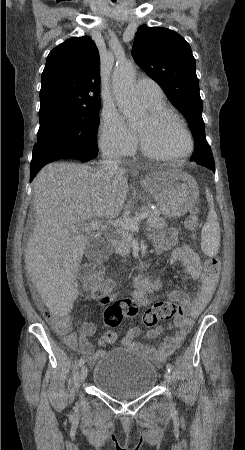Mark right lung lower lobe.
Wrapping results in <instances>:
<instances>
[{"mask_svg": "<svg viewBox=\"0 0 245 450\" xmlns=\"http://www.w3.org/2000/svg\"><path fill=\"white\" fill-rule=\"evenodd\" d=\"M97 154V151L95 152H60L56 154H52L50 156L44 157L41 160H39L36 164H31L30 172H31V178L30 182L33 180V178L36 176L38 171L48 162H51L56 159H62V158H72V159H78L81 161H88L94 158Z\"/></svg>", "mask_w": 245, "mask_h": 450, "instance_id": "right-lung-lower-lobe-1", "label": "right lung lower lobe"}]
</instances>
